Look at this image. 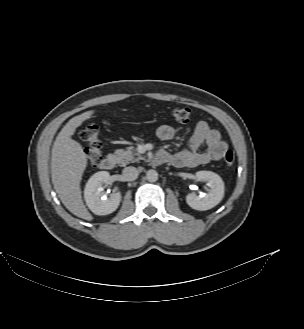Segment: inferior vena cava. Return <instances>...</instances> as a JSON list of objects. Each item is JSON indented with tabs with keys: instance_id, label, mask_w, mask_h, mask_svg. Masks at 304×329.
<instances>
[{
	"instance_id": "inferior-vena-cava-1",
	"label": "inferior vena cava",
	"mask_w": 304,
	"mask_h": 329,
	"mask_svg": "<svg viewBox=\"0 0 304 329\" xmlns=\"http://www.w3.org/2000/svg\"><path fill=\"white\" fill-rule=\"evenodd\" d=\"M123 177L126 181H133L135 179H137L138 177V169L133 167V166H129L123 169Z\"/></svg>"
}]
</instances>
